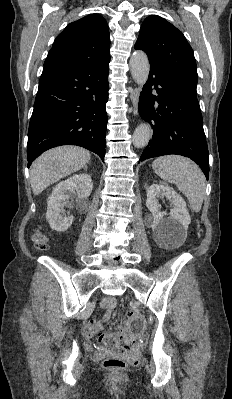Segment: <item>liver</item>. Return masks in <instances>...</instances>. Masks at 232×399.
<instances>
[{
	"label": "liver",
	"instance_id": "6515ba94",
	"mask_svg": "<svg viewBox=\"0 0 232 399\" xmlns=\"http://www.w3.org/2000/svg\"><path fill=\"white\" fill-rule=\"evenodd\" d=\"M90 160V152L77 146H60L44 152L30 168V184L34 196H39L47 186L59 182L84 168Z\"/></svg>",
	"mask_w": 232,
	"mask_h": 399
}]
</instances>
